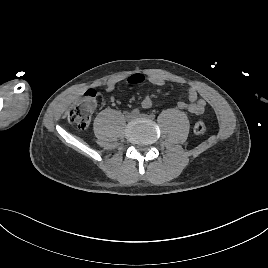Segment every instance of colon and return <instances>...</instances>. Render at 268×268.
<instances>
[{"mask_svg": "<svg viewBox=\"0 0 268 268\" xmlns=\"http://www.w3.org/2000/svg\"><path fill=\"white\" fill-rule=\"evenodd\" d=\"M97 105V93L95 90H88L83 100L68 112V120L79 129H86L90 125L93 112ZM194 132L203 134L206 131V124L203 120H198L194 124Z\"/></svg>", "mask_w": 268, "mask_h": 268, "instance_id": "1", "label": "colon"}]
</instances>
